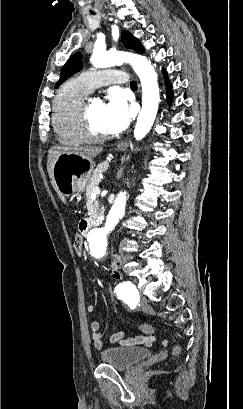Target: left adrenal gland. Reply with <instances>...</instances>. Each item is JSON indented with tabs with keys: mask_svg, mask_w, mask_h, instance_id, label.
<instances>
[{
	"mask_svg": "<svg viewBox=\"0 0 243 409\" xmlns=\"http://www.w3.org/2000/svg\"><path fill=\"white\" fill-rule=\"evenodd\" d=\"M122 169L119 171V175H118V177H120V176H122Z\"/></svg>",
	"mask_w": 243,
	"mask_h": 409,
	"instance_id": "1",
	"label": "left adrenal gland"
}]
</instances>
